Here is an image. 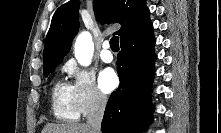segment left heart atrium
<instances>
[{
  "instance_id": "39dd6f15",
  "label": "left heart atrium",
  "mask_w": 221,
  "mask_h": 133,
  "mask_svg": "<svg viewBox=\"0 0 221 133\" xmlns=\"http://www.w3.org/2000/svg\"><path fill=\"white\" fill-rule=\"evenodd\" d=\"M118 78L115 71L110 68H104L99 75V86L104 93H109L115 89Z\"/></svg>"
}]
</instances>
